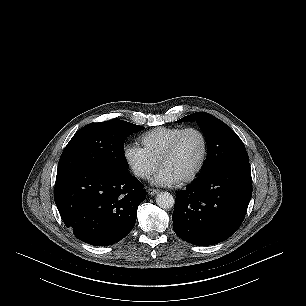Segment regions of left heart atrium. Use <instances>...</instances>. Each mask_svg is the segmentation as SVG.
Returning <instances> with one entry per match:
<instances>
[{
    "label": "left heart atrium",
    "mask_w": 306,
    "mask_h": 306,
    "mask_svg": "<svg viewBox=\"0 0 306 306\" xmlns=\"http://www.w3.org/2000/svg\"><path fill=\"white\" fill-rule=\"evenodd\" d=\"M152 182L156 185L171 186L179 182V179L170 171L162 168L153 178Z\"/></svg>",
    "instance_id": "left-heart-atrium-1"
}]
</instances>
